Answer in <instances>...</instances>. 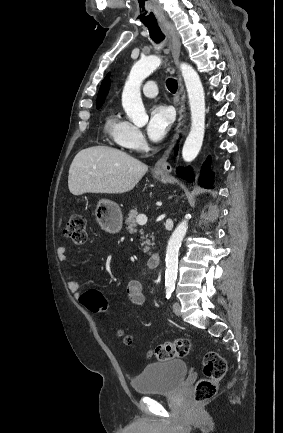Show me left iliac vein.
Wrapping results in <instances>:
<instances>
[{"instance_id":"obj_1","label":"left iliac vein","mask_w":283,"mask_h":433,"mask_svg":"<svg viewBox=\"0 0 283 433\" xmlns=\"http://www.w3.org/2000/svg\"><path fill=\"white\" fill-rule=\"evenodd\" d=\"M173 311L175 312L176 315H178V316L181 315V306H180L179 302H174Z\"/></svg>"}]
</instances>
